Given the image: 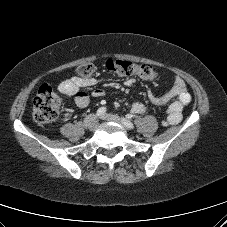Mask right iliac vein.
<instances>
[{
  "mask_svg": "<svg viewBox=\"0 0 227 227\" xmlns=\"http://www.w3.org/2000/svg\"><path fill=\"white\" fill-rule=\"evenodd\" d=\"M83 124L85 128L94 130L97 126L96 115L87 116Z\"/></svg>",
  "mask_w": 227,
  "mask_h": 227,
  "instance_id": "63e3f726",
  "label": "right iliac vein"
}]
</instances>
